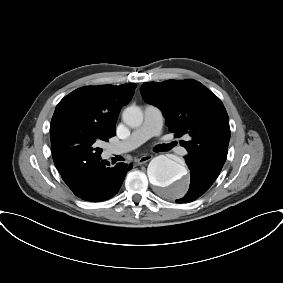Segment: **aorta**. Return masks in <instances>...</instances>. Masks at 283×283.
<instances>
[{"instance_id": "762f6f07", "label": "aorta", "mask_w": 283, "mask_h": 283, "mask_svg": "<svg viewBox=\"0 0 283 283\" xmlns=\"http://www.w3.org/2000/svg\"><path fill=\"white\" fill-rule=\"evenodd\" d=\"M122 119L130 127H139L143 122V112L138 106H129L124 109ZM147 174L151 184L167 189L166 194L173 198L183 197L188 190L185 167L167 155L153 158Z\"/></svg>"}]
</instances>
